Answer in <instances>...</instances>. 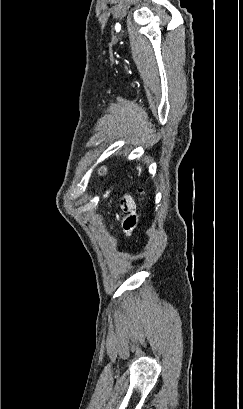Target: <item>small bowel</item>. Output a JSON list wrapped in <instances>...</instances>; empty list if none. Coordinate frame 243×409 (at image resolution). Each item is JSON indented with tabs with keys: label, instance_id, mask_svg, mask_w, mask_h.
<instances>
[{
	"label": "small bowel",
	"instance_id": "obj_1",
	"mask_svg": "<svg viewBox=\"0 0 243 409\" xmlns=\"http://www.w3.org/2000/svg\"><path fill=\"white\" fill-rule=\"evenodd\" d=\"M121 207L126 214L122 220V226L126 235H130L136 226V205L131 195H125L121 201Z\"/></svg>",
	"mask_w": 243,
	"mask_h": 409
}]
</instances>
